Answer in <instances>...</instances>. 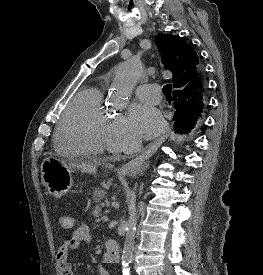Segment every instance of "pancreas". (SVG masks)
Wrapping results in <instances>:
<instances>
[{"label": "pancreas", "mask_w": 263, "mask_h": 275, "mask_svg": "<svg viewBox=\"0 0 263 275\" xmlns=\"http://www.w3.org/2000/svg\"><path fill=\"white\" fill-rule=\"evenodd\" d=\"M104 195H105V192L97 190V191L94 192L93 200L95 202L99 203L101 201V199L104 197ZM101 213H102V205L101 204H97L96 207H95V209L92 212V215L95 218H99L101 216Z\"/></svg>", "instance_id": "obj_1"}]
</instances>
